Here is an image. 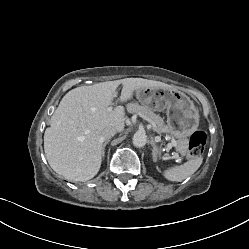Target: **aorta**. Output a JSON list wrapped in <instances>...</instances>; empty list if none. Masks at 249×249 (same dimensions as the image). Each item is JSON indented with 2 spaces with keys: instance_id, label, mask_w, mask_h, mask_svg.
<instances>
[{
  "instance_id": "762f6f07",
  "label": "aorta",
  "mask_w": 249,
  "mask_h": 249,
  "mask_svg": "<svg viewBox=\"0 0 249 249\" xmlns=\"http://www.w3.org/2000/svg\"><path fill=\"white\" fill-rule=\"evenodd\" d=\"M133 145L135 147H144L147 142V135L143 131H137L132 138Z\"/></svg>"
}]
</instances>
